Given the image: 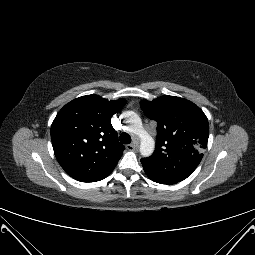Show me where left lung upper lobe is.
Returning <instances> with one entry per match:
<instances>
[{
    "mask_svg": "<svg viewBox=\"0 0 255 255\" xmlns=\"http://www.w3.org/2000/svg\"><path fill=\"white\" fill-rule=\"evenodd\" d=\"M140 106L148 118L158 123L155 151L141 159L145 173L160 184L186 179L201 162L207 147L206 115L194 103L175 96L144 100Z\"/></svg>",
    "mask_w": 255,
    "mask_h": 255,
    "instance_id": "left-lung-upper-lobe-1",
    "label": "left lung upper lobe"
}]
</instances>
